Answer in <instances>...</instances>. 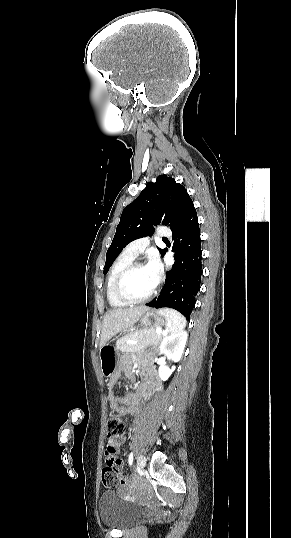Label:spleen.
Returning a JSON list of instances; mask_svg holds the SVG:
<instances>
[{"label": "spleen", "instance_id": "obj_1", "mask_svg": "<svg viewBox=\"0 0 291 538\" xmlns=\"http://www.w3.org/2000/svg\"><path fill=\"white\" fill-rule=\"evenodd\" d=\"M158 312L165 316L170 332H180L185 328L186 319L180 312L169 308H162Z\"/></svg>", "mask_w": 291, "mask_h": 538}]
</instances>
